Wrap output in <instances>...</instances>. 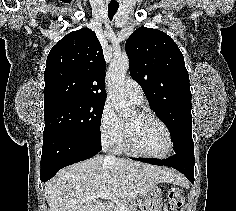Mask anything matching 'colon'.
I'll use <instances>...</instances> for the list:
<instances>
[{
  "label": "colon",
  "mask_w": 236,
  "mask_h": 211,
  "mask_svg": "<svg viewBox=\"0 0 236 211\" xmlns=\"http://www.w3.org/2000/svg\"><path fill=\"white\" fill-rule=\"evenodd\" d=\"M183 202L182 190L178 187H172L168 193L167 206L163 211H174Z\"/></svg>",
  "instance_id": "1"
}]
</instances>
